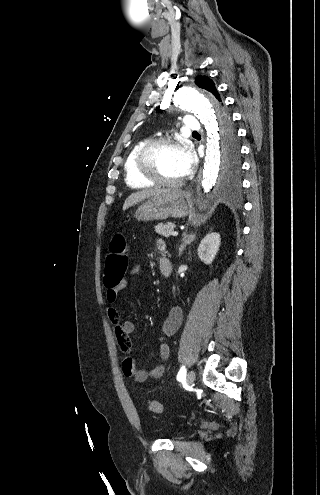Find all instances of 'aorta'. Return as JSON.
Listing matches in <instances>:
<instances>
[{
    "label": "aorta",
    "mask_w": 320,
    "mask_h": 495,
    "mask_svg": "<svg viewBox=\"0 0 320 495\" xmlns=\"http://www.w3.org/2000/svg\"><path fill=\"white\" fill-rule=\"evenodd\" d=\"M173 105L194 113L207 131V148L203 169L201 189L208 193L216 185L220 170V125L217 121L219 104L203 89H183L176 92ZM198 211L204 212L209 205L198 204Z\"/></svg>",
    "instance_id": "762f6f07"
}]
</instances>
